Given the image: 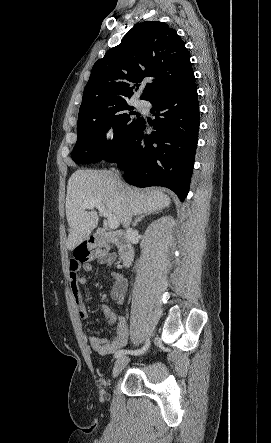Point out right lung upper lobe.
<instances>
[{
  "label": "right lung upper lobe",
  "mask_w": 271,
  "mask_h": 443,
  "mask_svg": "<svg viewBox=\"0 0 271 443\" xmlns=\"http://www.w3.org/2000/svg\"><path fill=\"white\" fill-rule=\"evenodd\" d=\"M141 99L193 81L190 56L173 28L159 21L136 25L98 60L84 89L78 119L95 118L128 105L145 80Z\"/></svg>",
  "instance_id": "obj_1"
}]
</instances>
